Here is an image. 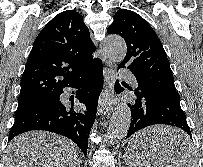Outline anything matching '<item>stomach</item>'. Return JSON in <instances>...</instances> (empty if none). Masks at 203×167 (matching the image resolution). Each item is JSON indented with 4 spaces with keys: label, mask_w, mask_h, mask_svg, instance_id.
Wrapping results in <instances>:
<instances>
[{
    "label": "stomach",
    "mask_w": 203,
    "mask_h": 167,
    "mask_svg": "<svg viewBox=\"0 0 203 167\" xmlns=\"http://www.w3.org/2000/svg\"><path fill=\"white\" fill-rule=\"evenodd\" d=\"M153 152H155L154 150H153ZM155 154H156V152H155ZM125 160H130V156H129V153H128V149H127V152H126V159Z\"/></svg>",
    "instance_id": "stomach-1"
}]
</instances>
